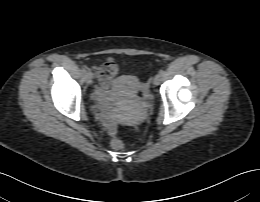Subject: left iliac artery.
I'll return each mask as SVG.
<instances>
[{
	"mask_svg": "<svg viewBox=\"0 0 260 202\" xmlns=\"http://www.w3.org/2000/svg\"><path fill=\"white\" fill-rule=\"evenodd\" d=\"M159 74H160V75H164V70H160V71H159Z\"/></svg>",
	"mask_w": 260,
	"mask_h": 202,
	"instance_id": "obj_1",
	"label": "left iliac artery"
}]
</instances>
